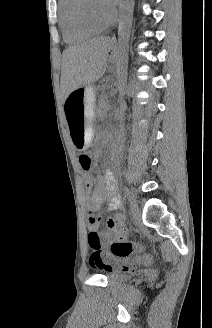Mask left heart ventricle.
<instances>
[{
	"instance_id": "1",
	"label": "left heart ventricle",
	"mask_w": 212,
	"mask_h": 328,
	"mask_svg": "<svg viewBox=\"0 0 212 328\" xmlns=\"http://www.w3.org/2000/svg\"><path fill=\"white\" fill-rule=\"evenodd\" d=\"M90 7L92 13L101 21H107L112 15V11L104 5L103 0H91Z\"/></svg>"
}]
</instances>
